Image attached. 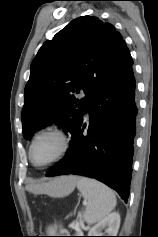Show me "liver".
Wrapping results in <instances>:
<instances>
[{
  "mask_svg": "<svg viewBox=\"0 0 158 237\" xmlns=\"http://www.w3.org/2000/svg\"><path fill=\"white\" fill-rule=\"evenodd\" d=\"M78 178L79 177L76 176H64L47 183L28 185L26 189L36 194L55 196L60 190L67 187H70V192H72L77 184Z\"/></svg>",
  "mask_w": 158,
  "mask_h": 237,
  "instance_id": "liver-1",
  "label": "liver"
}]
</instances>
